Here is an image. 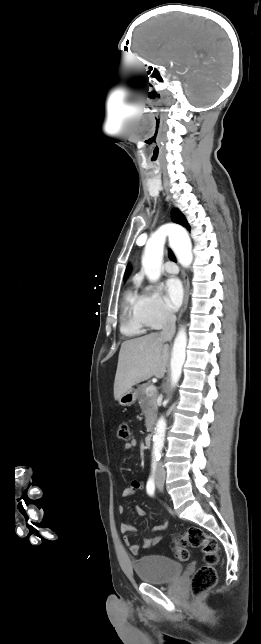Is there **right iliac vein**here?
Here are the masks:
<instances>
[{
    "label": "right iliac vein",
    "instance_id": "obj_1",
    "mask_svg": "<svg viewBox=\"0 0 261 644\" xmlns=\"http://www.w3.org/2000/svg\"><path fill=\"white\" fill-rule=\"evenodd\" d=\"M161 481H162V479H161V478H158L157 482H158V483H161Z\"/></svg>",
    "mask_w": 261,
    "mask_h": 644
}]
</instances>
